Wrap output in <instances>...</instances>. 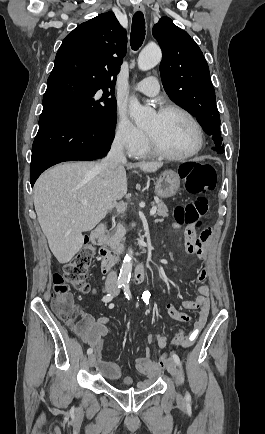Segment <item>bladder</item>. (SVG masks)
Masks as SVG:
<instances>
[{
	"label": "bladder",
	"instance_id": "obj_1",
	"mask_svg": "<svg viewBox=\"0 0 265 434\" xmlns=\"http://www.w3.org/2000/svg\"><path fill=\"white\" fill-rule=\"evenodd\" d=\"M98 369L101 376L108 381H118L123 375L121 366L116 363H101Z\"/></svg>",
	"mask_w": 265,
	"mask_h": 434
}]
</instances>
